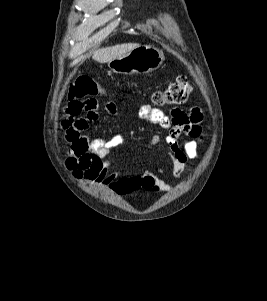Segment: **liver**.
I'll use <instances>...</instances> for the list:
<instances>
[{
  "label": "liver",
  "instance_id": "1",
  "mask_svg": "<svg viewBox=\"0 0 267 301\" xmlns=\"http://www.w3.org/2000/svg\"><path fill=\"white\" fill-rule=\"evenodd\" d=\"M138 46L139 44L136 43H128L102 48L94 52L93 59L99 63H108L113 59L123 56Z\"/></svg>",
  "mask_w": 267,
  "mask_h": 301
}]
</instances>
